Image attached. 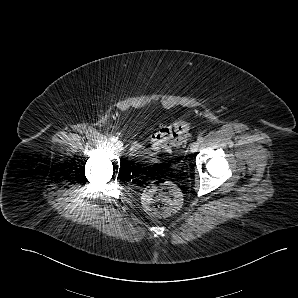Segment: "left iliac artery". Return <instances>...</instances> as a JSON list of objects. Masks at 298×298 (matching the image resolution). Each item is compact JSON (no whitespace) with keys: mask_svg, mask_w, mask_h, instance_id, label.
Listing matches in <instances>:
<instances>
[{"mask_svg":"<svg viewBox=\"0 0 298 298\" xmlns=\"http://www.w3.org/2000/svg\"><path fill=\"white\" fill-rule=\"evenodd\" d=\"M197 140L199 143H202L204 141V138L202 136H200Z\"/></svg>","mask_w":298,"mask_h":298,"instance_id":"44dca946","label":"left iliac artery"}]
</instances>
